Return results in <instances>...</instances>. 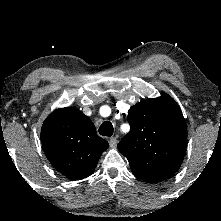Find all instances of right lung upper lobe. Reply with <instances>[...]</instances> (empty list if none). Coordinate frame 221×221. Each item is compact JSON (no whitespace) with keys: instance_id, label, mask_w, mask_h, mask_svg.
<instances>
[{"instance_id":"obj_1","label":"right lung upper lobe","mask_w":221,"mask_h":221,"mask_svg":"<svg viewBox=\"0 0 221 221\" xmlns=\"http://www.w3.org/2000/svg\"><path fill=\"white\" fill-rule=\"evenodd\" d=\"M41 141L54 168L72 180L91 175L101 154L109 147L97 135L90 118L72 107L57 109L46 118Z\"/></svg>"}]
</instances>
